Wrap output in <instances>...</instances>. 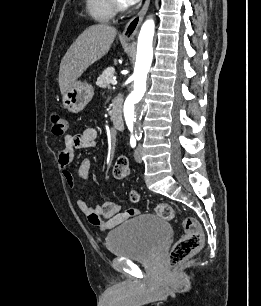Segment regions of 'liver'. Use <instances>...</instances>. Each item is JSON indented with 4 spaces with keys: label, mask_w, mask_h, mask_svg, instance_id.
<instances>
[{
    "label": "liver",
    "mask_w": 261,
    "mask_h": 306,
    "mask_svg": "<svg viewBox=\"0 0 261 306\" xmlns=\"http://www.w3.org/2000/svg\"><path fill=\"white\" fill-rule=\"evenodd\" d=\"M116 34L115 27L97 24L90 26L79 35L60 63L58 80L62 95L89 66L108 53Z\"/></svg>",
    "instance_id": "liver-1"
}]
</instances>
